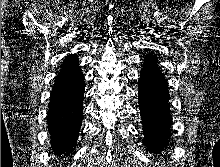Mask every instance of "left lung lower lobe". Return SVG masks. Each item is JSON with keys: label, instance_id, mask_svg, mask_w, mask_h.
<instances>
[{"label": "left lung lower lobe", "instance_id": "obj_1", "mask_svg": "<svg viewBox=\"0 0 220 167\" xmlns=\"http://www.w3.org/2000/svg\"><path fill=\"white\" fill-rule=\"evenodd\" d=\"M138 87L144 144L150 152L158 153L168 144L172 117L167 82L153 55L146 56L144 60Z\"/></svg>", "mask_w": 220, "mask_h": 167}]
</instances>
